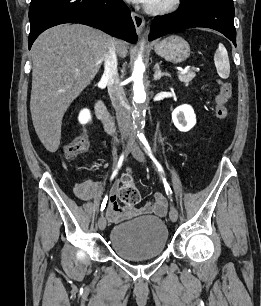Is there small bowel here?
<instances>
[{"label": "small bowel", "mask_w": 261, "mask_h": 306, "mask_svg": "<svg viewBox=\"0 0 261 306\" xmlns=\"http://www.w3.org/2000/svg\"><path fill=\"white\" fill-rule=\"evenodd\" d=\"M100 189V182L87 180L74 187L75 196L82 201L94 199ZM167 212V201L161 193H155L151 202L138 210H127L117 202L116 189L110 195L107 205V217L111 222H119L128 219L136 214H155L163 217Z\"/></svg>", "instance_id": "c3829d8e"}]
</instances>
